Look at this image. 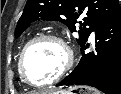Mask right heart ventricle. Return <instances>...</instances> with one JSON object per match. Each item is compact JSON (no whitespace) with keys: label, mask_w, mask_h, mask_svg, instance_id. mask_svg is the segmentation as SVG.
<instances>
[{"label":"right heart ventricle","mask_w":121,"mask_h":94,"mask_svg":"<svg viewBox=\"0 0 121 94\" xmlns=\"http://www.w3.org/2000/svg\"><path fill=\"white\" fill-rule=\"evenodd\" d=\"M23 47H24V45L22 46L21 50L19 51L18 58H17V65H18V59H19V56H20V53H21Z\"/></svg>","instance_id":"1"}]
</instances>
